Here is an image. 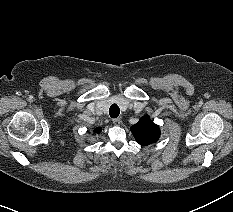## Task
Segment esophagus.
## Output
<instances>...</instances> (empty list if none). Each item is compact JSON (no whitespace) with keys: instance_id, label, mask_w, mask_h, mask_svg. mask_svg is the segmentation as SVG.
Returning a JSON list of instances; mask_svg holds the SVG:
<instances>
[{"instance_id":"obj_1","label":"esophagus","mask_w":233,"mask_h":212,"mask_svg":"<svg viewBox=\"0 0 233 212\" xmlns=\"http://www.w3.org/2000/svg\"><path fill=\"white\" fill-rule=\"evenodd\" d=\"M112 122H113V124L116 125V126H118V125H120V124L122 123V121H121L120 118H114V119L112 120Z\"/></svg>"}]
</instances>
